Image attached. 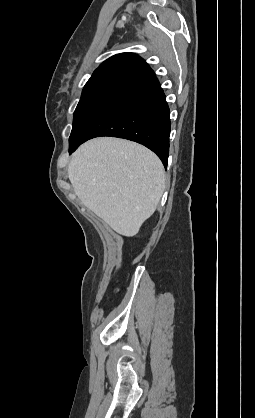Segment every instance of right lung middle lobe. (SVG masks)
I'll list each match as a JSON object with an SVG mask.
<instances>
[{
    "instance_id": "dd1d6c3e",
    "label": "right lung middle lobe",
    "mask_w": 255,
    "mask_h": 418,
    "mask_svg": "<svg viewBox=\"0 0 255 418\" xmlns=\"http://www.w3.org/2000/svg\"><path fill=\"white\" fill-rule=\"evenodd\" d=\"M124 88L121 85L106 83L85 85L81 99L74 112L69 145L73 144L80 137L94 115Z\"/></svg>"
}]
</instances>
